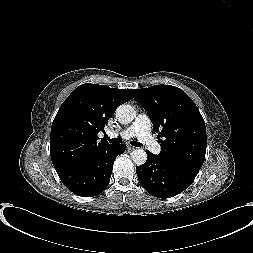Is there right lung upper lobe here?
Returning a JSON list of instances; mask_svg holds the SVG:
<instances>
[{
	"mask_svg": "<svg viewBox=\"0 0 253 253\" xmlns=\"http://www.w3.org/2000/svg\"><path fill=\"white\" fill-rule=\"evenodd\" d=\"M130 90L83 84L62 103L51 127L50 152L58 172L77 167L111 146L97 134L116 108L131 100Z\"/></svg>",
	"mask_w": 253,
	"mask_h": 253,
	"instance_id": "1",
	"label": "right lung upper lobe"
}]
</instances>
